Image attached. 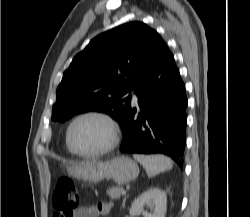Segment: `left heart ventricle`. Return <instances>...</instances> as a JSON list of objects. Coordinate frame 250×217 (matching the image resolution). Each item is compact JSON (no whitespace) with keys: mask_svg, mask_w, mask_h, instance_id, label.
I'll return each instance as SVG.
<instances>
[{"mask_svg":"<svg viewBox=\"0 0 250 217\" xmlns=\"http://www.w3.org/2000/svg\"><path fill=\"white\" fill-rule=\"evenodd\" d=\"M106 124L94 117L78 121L72 130V143L81 152H92L102 148L108 141Z\"/></svg>","mask_w":250,"mask_h":217,"instance_id":"1","label":"left heart ventricle"}]
</instances>
